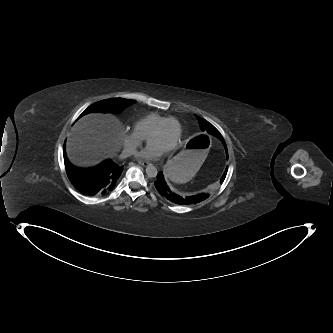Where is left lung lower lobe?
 I'll return each instance as SVG.
<instances>
[{
  "label": "left lung lower lobe",
  "mask_w": 333,
  "mask_h": 333,
  "mask_svg": "<svg viewBox=\"0 0 333 333\" xmlns=\"http://www.w3.org/2000/svg\"><path fill=\"white\" fill-rule=\"evenodd\" d=\"M220 140L223 142L225 145V141L223 137L220 138ZM226 148V145H225ZM227 150V148H226ZM155 187L159 194L163 196L165 199L169 200L172 203L179 204V205H192L199 203L201 201H204L207 199L210 194L209 193H201V194H196V195H191V196H183L177 193H174L167 183L164 180V176L162 172H159L157 174V180L155 181Z\"/></svg>",
  "instance_id": "1"
}]
</instances>
